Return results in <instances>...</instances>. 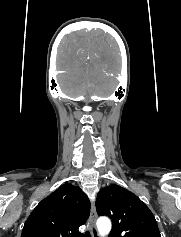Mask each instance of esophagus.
<instances>
[{
  "instance_id": "1",
  "label": "esophagus",
  "mask_w": 181,
  "mask_h": 237,
  "mask_svg": "<svg viewBox=\"0 0 181 237\" xmlns=\"http://www.w3.org/2000/svg\"><path fill=\"white\" fill-rule=\"evenodd\" d=\"M96 219H97L96 207H95L94 201H92L90 218H89V227H90L92 237H99V234L96 228Z\"/></svg>"
}]
</instances>
